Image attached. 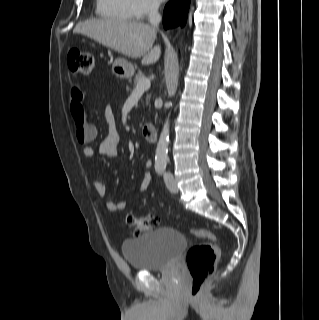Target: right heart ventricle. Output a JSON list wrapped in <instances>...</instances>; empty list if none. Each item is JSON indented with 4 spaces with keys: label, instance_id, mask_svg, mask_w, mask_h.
<instances>
[{
    "label": "right heart ventricle",
    "instance_id": "e07e8e85",
    "mask_svg": "<svg viewBox=\"0 0 319 320\" xmlns=\"http://www.w3.org/2000/svg\"><path fill=\"white\" fill-rule=\"evenodd\" d=\"M96 13L113 21L128 22L133 19L128 0H97Z\"/></svg>",
    "mask_w": 319,
    "mask_h": 320
}]
</instances>
